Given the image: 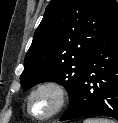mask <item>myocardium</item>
<instances>
[{
  "label": "myocardium",
  "instance_id": "f54148a6",
  "mask_svg": "<svg viewBox=\"0 0 118 123\" xmlns=\"http://www.w3.org/2000/svg\"><path fill=\"white\" fill-rule=\"evenodd\" d=\"M45 91L53 93L55 97V104L52 110L45 115H37L32 111L31 102L33 98ZM68 98V92L66 87L57 80H46L38 83L34 86L26 98V108L28 114L37 120H48L56 116L65 106Z\"/></svg>",
  "mask_w": 118,
  "mask_h": 123
}]
</instances>
